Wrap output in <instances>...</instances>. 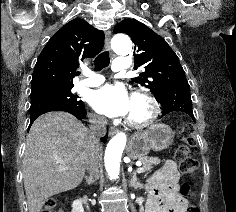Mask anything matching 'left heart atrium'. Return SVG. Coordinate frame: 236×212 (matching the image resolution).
Wrapping results in <instances>:
<instances>
[{
    "label": "left heart atrium",
    "mask_w": 236,
    "mask_h": 212,
    "mask_svg": "<svg viewBox=\"0 0 236 212\" xmlns=\"http://www.w3.org/2000/svg\"><path fill=\"white\" fill-rule=\"evenodd\" d=\"M90 105L107 117H121L129 114L132 98L122 84H106L93 91Z\"/></svg>",
    "instance_id": "left-heart-atrium-1"
}]
</instances>
